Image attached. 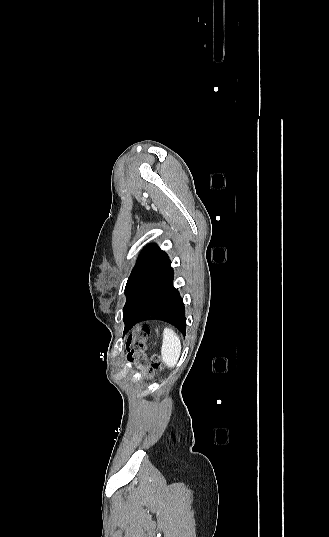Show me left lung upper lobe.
I'll list each match as a JSON object with an SVG mask.
<instances>
[{"mask_svg":"<svg viewBox=\"0 0 329 537\" xmlns=\"http://www.w3.org/2000/svg\"><path fill=\"white\" fill-rule=\"evenodd\" d=\"M170 263L166 252L157 244H149L142 250L125 287L123 317L132 310L149 284Z\"/></svg>","mask_w":329,"mask_h":537,"instance_id":"obj_1","label":"left lung upper lobe"}]
</instances>
